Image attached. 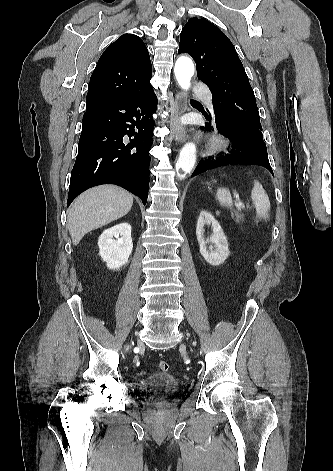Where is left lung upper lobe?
I'll use <instances>...</instances> for the list:
<instances>
[{
  "label": "left lung upper lobe",
  "mask_w": 333,
  "mask_h": 471,
  "mask_svg": "<svg viewBox=\"0 0 333 471\" xmlns=\"http://www.w3.org/2000/svg\"><path fill=\"white\" fill-rule=\"evenodd\" d=\"M178 53L193 57L198 79L209 87L210 117L231 132L264 142L253 89L228 37L206 19L191 18L181 31Z\"/></svg>",
  "instance_id": "5c2ea615"
}]
</instances>
